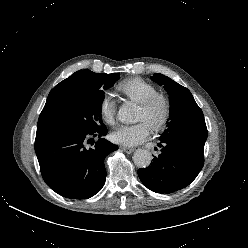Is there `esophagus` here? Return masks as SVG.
<instances>
[{"instance_id":"esophagus-1","label":"esophagus","mask_w":248,"mask_h":248,"mask_svg":"<svg viewBox=\"0 0 248 248\" xmlns=\"http://www.w3.org/2000/svg\"><path fill=\"white\" fill-rule=\"evenodd\" d=\"M120 148L128 154H130L134 151V149L130 148V147L121 146Z\"/></svg>"}]
</instances>
